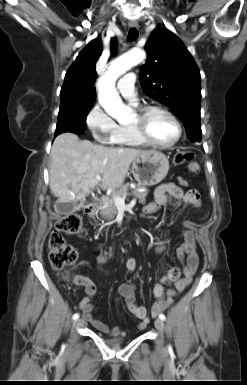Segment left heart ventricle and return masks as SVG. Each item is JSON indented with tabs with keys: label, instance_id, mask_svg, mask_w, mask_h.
<instances>
[{
	"label": "left heart ventricle",
	"instance_id": "1",
	"mask_svg": "<svg viewBox=\"0 0 247 385\" xmlns=\"http://www.w3.org/2000/svg\"><path fill=\"white\" fill-rule=\"evenodd\" d=\"M136 121V116L133 123ZM149 136L158 143H169L176 137L177 129L174 122L162 112H152L146 120Z\"/></svg>",
	"mask_w": 247,
	"mask_h": 385
}]
</instances>
